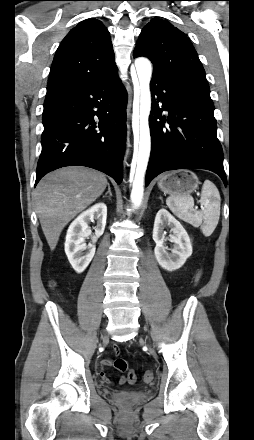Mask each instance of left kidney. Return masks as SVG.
Instances as JSON below:
<instances>
[{
  "instance_id": "1",
  "label": "left kidney",
  "mask_w": 254,
  "mask_h": 440,
  "mask_svg": "<svg viewBox=\"0 0 254 440\" xmlns=\"http://www.w3.org/2000/svg\"><path fill=\"white\" fill-rule=\"evenodd\" d=\"M171 228L172 234L168 238L164 235V228ZM153 240L156 243L154 249L155 258L158 264L167 271H174L182 267L187 258L192 254L190 238L180 224L166 209L158 211L154 221ZM174 243L172 249H168L165 241ZM167 250H170L169 253Z\"/></svg>"
}]
</instances>
